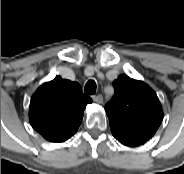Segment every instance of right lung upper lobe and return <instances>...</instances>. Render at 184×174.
I'll return each instance as SVG.
<instances>
[{
    "label": "right lung upper lobe",
    "mask_w": 184,
    "mask_h": 174,
    "mask_svg": "<svg viewBox=\"0 0 184 174\" xmlns=\"http://www.w3.org/2000/svg\"><path fill=\"white\" fill-rule=\"evenodd\" d=\"M92 99L82 93L77 82L56 76L41 85L30 102L32 127L51 142H63L79 128L87 104Z\"/></svg>",
    "instance_id": "right-lung-upper-lobe-1"
}]
</instances>
